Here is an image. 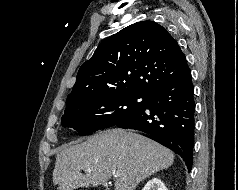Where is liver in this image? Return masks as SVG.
Wrapping results in <instances>:
<instances>
[{
	"instance_id": "6515ba94",
	"label": "liver",
	"mask_w": 238,
	"mask_h": 190,
	"mask_svg": "<svg viewBox=\"0 0 238 190\" xmlns=\"http://www.w3.org/2000/svg\"><path fill=\"white\" fill-rule=\"evenodd\" d=\"M173 162L174 154L159 143L132 131L112 129L63 147L56 157L53 183L58 190L96 187L116 173L115 190H134Z\"/></svg>"
}]
</instances>
